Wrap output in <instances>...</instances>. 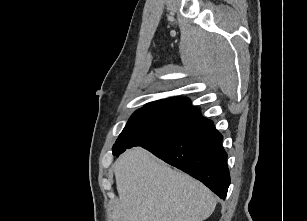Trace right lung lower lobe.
<instances>
[{"mask_svg": "<svg viewBox=\"0 0 307 221\" xmlns=\"http://www.w3.org/2000/svg\"><path fill=\"white\" fill-rule=\"evenodd\" d=\"M142 147L200 180L221 199L226 197L230 184L227 154L211 120L203 118L174 137Z\"/></svg>", "mask_w": 307, "mask_h": 221, "instance_id": "1", "label": "right lung lower lobe"}]
</instances>
